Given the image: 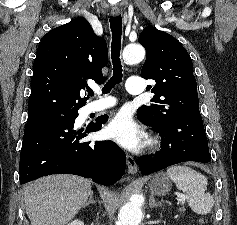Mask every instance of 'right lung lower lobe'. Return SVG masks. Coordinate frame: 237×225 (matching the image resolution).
I'll return each instance as SVG.
<instances>
[{"label":"right lung lower lobe","instance_id":"98d812e1","mask_svg":"<svg viewBox=\"0 0 237 225\" xmlns=\"http://www.w3.org/2000/svg\"><path fill=\"white\" fill-rule=\"evenodd\" d=\"M78 111L30 117L20 154V183L50 174H75L111 185L125 173L126 156L112 141L79 142L101 129L108 116L99 117L85 129L75 130Z\"/></svg>","mask_w":237,"mask_h":225}]
</instances>
